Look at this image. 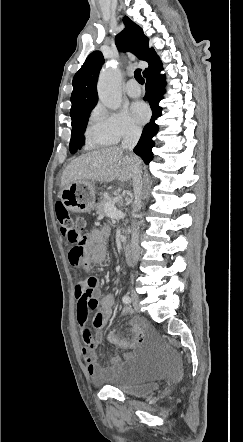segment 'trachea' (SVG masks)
<instances>
[{"label":"trachea","instance_id":"obj_1","mask_svg":"<svg viewBox=\"0 0 243 442\" xmlns=\"http://www.w3.org/2000/svg\"><path fill=\"white\" fill-rule=\"evenodd\" d=\"M134 77L135 79L140 83L143 84L144 83V79L141 75V69H136L134 72Z\"/></svg>","mask_w":243,"mask_h":442}]
</instances>
